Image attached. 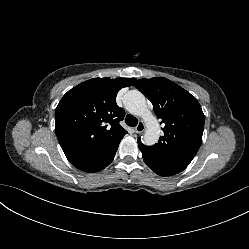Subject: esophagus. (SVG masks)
<instances>
[{
    "instance_id": "1",
    "label": "esophagus",
    "mask_w": 249,
    "mask_h": 249,
    "mask_svg": "<svg viewBox=\"0 0 249 249\" xmlns=\"http://www.w3.org/2000/svg\"><path fill=\"white\" fill-rule=\"evenodd\" d=\"M136 133H142L145 130V124L143 121H139L137 126L134 128Z\"/></svg>"
}]
</instances>
